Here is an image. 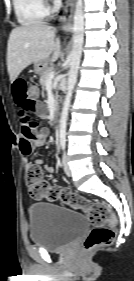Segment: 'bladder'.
Masks as SVG:
<instances>
[{
  "instance_id": "31cf9c89",
  "label": "bladder",
  "mask_w": 134,
  "mask_h": 281,
  "mask_svg": "<svg viewBox=\"0 0 134 281\" xmlns=\"http://www.w3.org/2000/svg\"><path fill=\"white\" fill-rule=\"evenodd\" d=\"M29 219L31 242L54 252L65 250L89 225L83 214L44 202L31 205Z\"/></svg>"
}]
</instances>
